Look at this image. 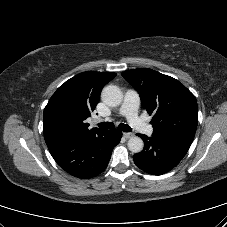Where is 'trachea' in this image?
<instances>
[{
	"mask_svg": "<svg viewBox=\"0 0 227 227\" xmlns=\"http://www.w3.org/2000/svg\"><path fill=\"white\" fill-rule=\"evenodd\" d=\"M98 126L102 129H111L115 127L113 122H101L98 124ZM118 128L124 132L131 131V127L124 123L119 124Z\"/></svg>",
	"mask_w": 227,
	"mask_h": 227,
	"instance_id": "1",
	"label": "trachea"
}]
</instances>
